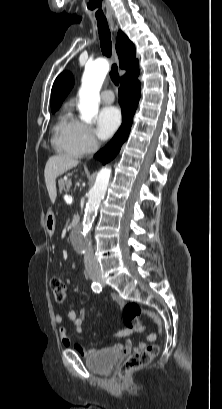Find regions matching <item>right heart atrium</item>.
Listing matches in <instances>:
<instances>
[{
	"label": "right heart atrium",
	"mask_w": 222,
	"mask_h": 409,
	"mask_svg": "<svg viewBox=\"0 0 222 409\" xmlns=\"http://www.w3.org/2000/svg\"><path fill=\"white\" fill-rule=\"evenodd\" d=\"M77 137L84 153H91L98 148V141L90 126L77 122Z\"/></svg>",
	"instance_id": "1"
}]
</instances>
